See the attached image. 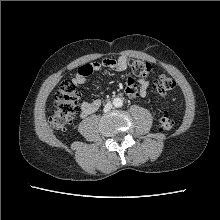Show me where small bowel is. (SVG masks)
Segmentation results:
<instances>
[{"instance_id": "c3829d8e", "label": "small bowel", "mask_w": 220, "mask_h": 220, "mask_svg": "<svg viewBox=\"0 0 220 220\" xmlns=\"http://www.w3.org/2000/svg\"><path fill=\"white\" fill-rule=\"evenodd\" d=\"M128 65V59L125 56H120L117 59L106 58L102 62H91L79 67L76 75L72 78V82L75 85H83L86 78L93 72L100 70L102 67L108 68L115 72H122L126 70ZM139 88L136 84L130 85L126 83L125 93L129 97H136L140 95L145 97L148 92L149 83L144 78H139L138 80ZM101 106V100L95 99L92 101H84L80 106V115L82 117H87L90 114L96 112Z\"/></svg>"}]
</instances>
